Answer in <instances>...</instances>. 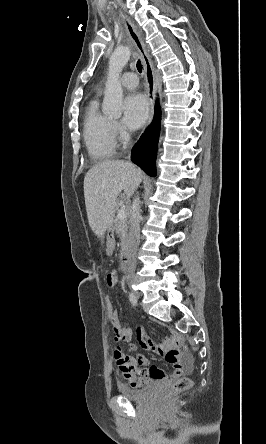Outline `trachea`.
Returning a JSON list of instances; mask_svg holds the SVG:
<instances>
[{
    "label": "trachea",
    "mask_w": 266,
    "mask_h": 444,
    "mask_svg": "<svg viewBox=\"0 0 266 444\" xmlns=\"http://www.w3.org/2000/svg\"><path fill=\"white\" fill-rule=\"evenodd\" d=\"M136 66H137V70H138V72L141 73V72H142V64H141V61H140V60L137 61Z\"/></svg>",
    "instance_id": "1"
}]
</instances>
